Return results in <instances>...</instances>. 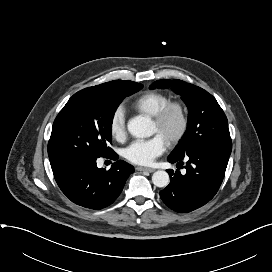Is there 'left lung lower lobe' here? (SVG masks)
Here are the masks:
<instances>
[{
  "mask_svg": "<svg viewBox=\"0 0 272 272\" xmlns=\"http://www.w3.org/2000/svg\"><path fill=\"white\" fill-rule=\"evenodd\" d=\"M232 143H214L201 146L184 156H169L177 166L186 162V174L167 170L170 184L160 191L163 202L179 213L191 212L208 203L217 193L226 171Z\"/></svg>",
  "mask_w": 272,
  "mask_h": 272,
  "instance_id": "left-lung-lower-lobe-1",
  "label": "left lung lower lobe"
}]
</instances>
